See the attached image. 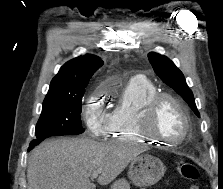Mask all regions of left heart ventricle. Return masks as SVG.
<instances>
[{"label": "left heart ventricle", "instance_id": "left-heart-ventricle-1", "mask_svg": "<svg viewBox=\"0 0 223 189\" xmlns=\"http://www.w3.org/2000/svg\"><path fill=\"white\" fill-rule=\"evenodd\" d=\"M184 126L179 109L169 100L161 102L154 119V132L169 141H175L182 137Z\"/></svg>", "mask_w": 223, "mask_h": 189}]
</instances>
